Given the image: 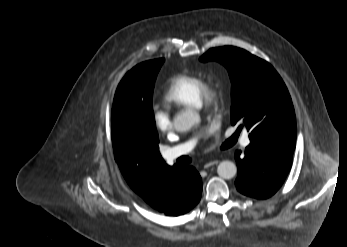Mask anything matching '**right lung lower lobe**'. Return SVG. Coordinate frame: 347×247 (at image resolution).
<instances>
[{
    "instance_id": "right-lung-lower-lobe-1",
    "label": "right lung lower lobe",
    "mask_w": 347,
    "mask_h": 247,
    "mask_svg": "<svg viewBox=\"0 0 347 247\" xmlns=\"http://www.w3.org/2000/svg\"><path fill=\"white\" fill-rule=\"evenodd\" d=\"M171 186L172 197L168 207L165 210L157 209L158 211L168 216H179L198 204L202 193V180L195 168L177 165L176 176Z\"/></svg>"
}]
</instances>
